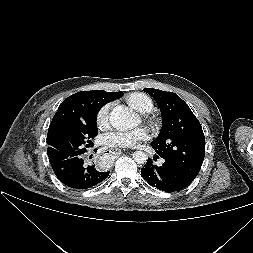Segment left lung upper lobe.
Returning a JSON list of instances; mask_svg holds the SVG:
<instances>
[{
  "mask_svg": "<svg viewBox=\"0 0 253 253\" xmlns=\"http://www.w3.org/2000/svg\"><path fill=\"white\" fill-rule=\"evenodd\" d=\"M159 105L162 127L151 143L162 158L176 162L197 176L205 156V137L200 122L189 106L175 93L145 88Z\"/></svg>",
  "mask_w": 253,
  "mask_h": 253,
  "instance_id": "left-lung-upper-lobe-1",
  "label": "left lung upper lobe"
}]
</instances>
